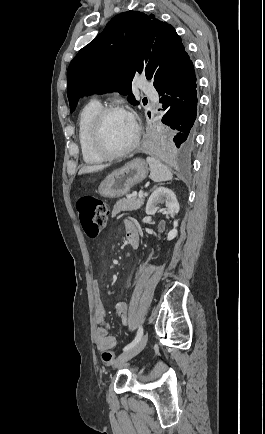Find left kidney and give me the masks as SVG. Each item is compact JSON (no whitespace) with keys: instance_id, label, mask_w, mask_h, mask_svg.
<instances>
[{"instance_id":"5707ae66","label":"left kidney","mask_w":265,"mask_h":434,"mask_svg":"<svg viewBox=\"0 0 265 434\" xmlns=\"http://www.w3.org/2000/svg\"><path fill=\"white\" fill-rule=\"evenodd\" d=\"M164 202H166L167 210H163L162 214H166L167 218L168 216L173 218L175 214H178L180 208L174 192L169 190V188H162V186H160V188H156L153 194H151L146 204V214H149V216H154V214H157L159 210V208H157V204H164ZM173 226L174 228L173 230H170L167 240H174L178 234L176 230L178 226L177 220H175Z\"/></svg>"}]
</instances>
